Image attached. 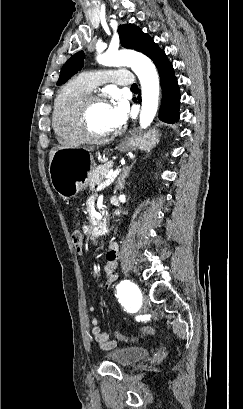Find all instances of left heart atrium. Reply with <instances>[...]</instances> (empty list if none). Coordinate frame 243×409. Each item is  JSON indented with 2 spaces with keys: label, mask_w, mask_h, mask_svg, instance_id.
Returning <instances> with one entry per match:
<instances>
[{
  "label": "left heart atrium",
  "mask_w": 243,
  "mask_h": 409,
  "mask_svg": "<svg viewBox=\"0 0 243 409\" xmlns=\"http://www.w3.org/2000/svg\"><path fill=\"white\" fill-rule=\"evenodd\" d=\"M127 108L125 103L117 99L112 104H109L108 109V125L110 131L120 128L126 121Z\"/></svg>",
  "instance_id": "left-heart-atrium-1"
}]
</instances>
